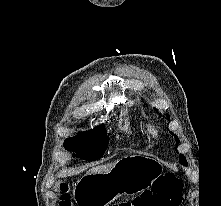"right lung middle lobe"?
I'll return each mask as SVG.
<instances>
[{
  "instance_id": "right-lung-middle-lobe-1",
  "label": "right lung middle lobe",
  "mask_w": 221,
  "mask_h": 206,
  "mask_svg": "<svg viewBox=\"0 0 221 206\" xmlns=\"http://www.w3.org/2000/svg\"><path fill=\"white\" fill-rule=\"evenodd\" d=\"M109 138L103 126H98L88 132H81L77 136L65 140L64 147L73 151L75 157L83 160H96L103 156Z\"/></svg>"
}]
</instances>
